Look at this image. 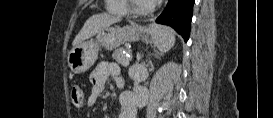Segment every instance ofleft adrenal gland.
<instances>
[{
  "label": "left adrenal gland",
  "mask_w": 273,
  "mask_h": 118,
  "mask_svg": "<svg viewBox=\"0 0 273 118\" xmlns=\"http://www.w3.org/2000/svg\"><path fill=\"white\" fill-rule=\"evenodd\" d=\"M158 55H159V53L155 54V56H158ZM139 58H141V57H139Z\"/></svg>",
  "instance_id": "obj_1"
}]
</instances>
